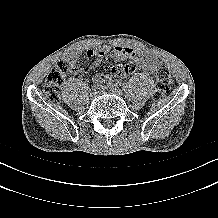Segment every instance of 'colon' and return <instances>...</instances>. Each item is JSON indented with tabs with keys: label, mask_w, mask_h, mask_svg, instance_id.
<instances>
[{
	"label": "colon",
	"mask_w": 218,
	"mask_h": 218,
	"mask_svg": "<svg viewBox=\"0 0 218 218\" xmlns=\"http://www.w3.org/2000/svg\"><path fill=\"white\" fill-rule=\"evenodd\" d=\"M68 66L64 62H58L50 71L46 78L43 91L51 101H58L60 98L59 89L63 84L67 73ZM112 75L119 77L124 72L123 65H115L111 67ZM156 89L153 95L154 100H161L168 92L171 86V76L169 70L165 66H158L156 73Z\"/></svg>",
	"instance_id": "5ec220e1"
}]
</instances>
